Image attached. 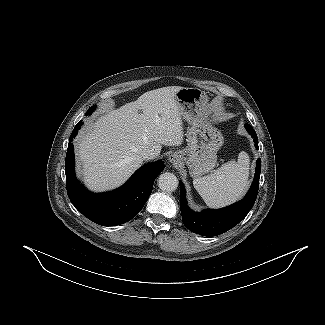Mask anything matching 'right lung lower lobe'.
Returning a JSON list of instances; mask_svg holds the SVG:
<instances>
[{
  "label": "right lung lower lobe",
  "mask_w": 325,
  "mask_h": 325,
  "mask_svg": "<svg viewBox=\"0 0 325 325\" xmlns=\"http://www.w3.org/2000/svg\"><path fill=\"white\" fill-rule=\"evenodd\" d=\"M83 125L74 128L68 144L65 173L67 194L75 208L91 221L114 226L134 218L148 200L156 177L163 171L162 160L148 163L138 169L130 180L117 190L94 194L77 181L74 172V148L72 140Z\"/></svg>",
  "instance_id": "obj_1"
}]
</instances>
